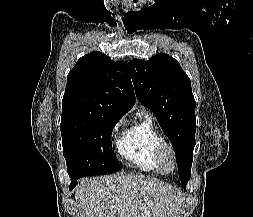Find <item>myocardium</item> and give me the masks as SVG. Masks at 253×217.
I'll list each match as a JSON object with an SVG mask.
<instances>
[{
  "mask_svg": "<svg viewBox=\"0 0 253 217\" xmlns=\"http://www.w3.org/2000/svg\"><path fill=\"white\" fill-rule=\"evenodd\" d=\"M156 158L161 172L169 174L177 168V158L173 146L162 140L156 147ZM169 163V166L167 165Z\"/></svg>",
  "mask_w": 253,
  "mask_h": 217,
  "instance_id": "obj_1",
  "label": "myocardium"
}]
</instances>
